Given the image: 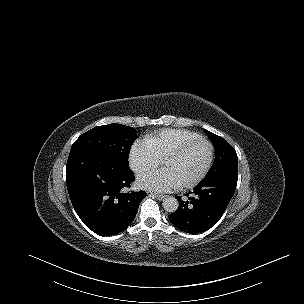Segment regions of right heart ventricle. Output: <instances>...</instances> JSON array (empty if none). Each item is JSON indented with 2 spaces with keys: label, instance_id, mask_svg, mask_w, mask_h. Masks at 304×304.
Segmentation results:
<instances>
[{
  "label": "right heart ventricle",
  "instance_id": "right-heart-ventricle-1",
  "mask_svg": "<svg viewBox=\"0 0 304 304\" xmlns=\"http://www.w3.org/2000/svg\"><path fill=\"white\" fill-rule=\"evenodd\" d=\"M197 136L196 133L185 129H164L152 135L149 140L157 153L167 158L185 142Z\"/></svg>",
  "mask_w": 304,
  "mask_h": 304
}]
</instances>
